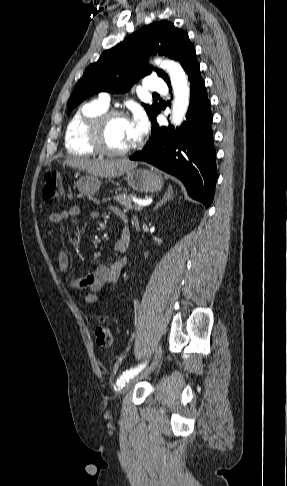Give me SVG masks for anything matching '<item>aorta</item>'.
Segmentation results:
<instances>
[{"instance_id":"aorta-1","label":"aorta","mask_w":287,"mask_h":486,"mask_svg":"<svg viewBox=\"0 0 287 486\" xmlns=\"http://www.w3.org/2000/svg\"><path fill=\"white\" fill-rule=\"evenodd\" d=\"M156 64L164 68L171 76L174 88V102L171 113V123L176 127L185 120L190 102V86L188 77L181 65L173 60L157 59Z\"/></svg>"}]
</instances>
